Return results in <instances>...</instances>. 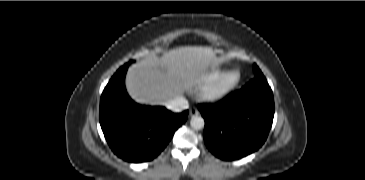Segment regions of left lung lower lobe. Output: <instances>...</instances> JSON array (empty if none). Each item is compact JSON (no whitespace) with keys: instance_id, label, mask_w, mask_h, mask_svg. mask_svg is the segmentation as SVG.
Listing matches in <instances>:
<instances>
[{"instance_id":"left-lung-lower-lobe-1","label":"left lung lower lobe","mask_w":365,"mask_h":180,"mask_svg":"<svg viewBox=\"0 0 365 180\" xmlns=\"http://www.w3.org/2000/svg\"><path fill=\"white\" fill-rule=\"evenodd\" d=\"M205 120L204 141L223 160H236L258 150L274 117V98L264 76L216 104L199 105Z\"/></svg>"}]
</instances>
